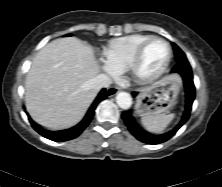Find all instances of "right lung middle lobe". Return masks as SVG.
<instances>
[{
  "mask_svg": "<svg viewBox=\"0 0 222 187\" xmlns=\"http://www.w3.org/2000/svg\"><path fill=\"white\" fill-rule=\"evenodd\" d=\"M66 36H71V34H68V35H66Z\"/></svg>",
  "mask_w": 222,
  "mask_h": 187,
  "instance_id": "1",
  "label": "right lung middle lobe"
}]
</instances>
